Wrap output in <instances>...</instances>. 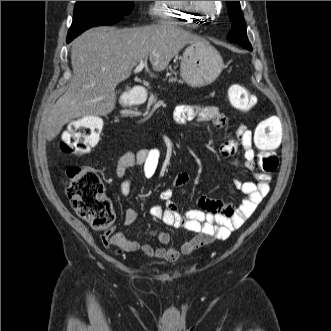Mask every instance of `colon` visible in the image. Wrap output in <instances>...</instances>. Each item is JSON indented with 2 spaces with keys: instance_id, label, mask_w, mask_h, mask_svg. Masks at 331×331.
<instances>
[{
  "instance_id": "1",
  "label": "colon",
  "mask_w": 331,
  "mask_h": 331,
  "mask_svg": "<svg viewBox=\"0 0 331 331\" xmlns=\"http://www.w3.org/2000/svg\"><path fill=\"white\" fill-rule=\"evenodd\" d=\"M228 99L240 111H246L254 104L253 95L239 84L230 86ZM102 128L103 121L95 116L73 121L62 135L61 150L79 156L86 154L98 143ZM282 135L283 121L277 116L268 117L258 125L254 140L260 149L265 150L258 160L262 173H272L277 169L278 157L274 150L281 144ZM65 182L74 211L93 228L110 229L115 221V213L99 176L87 167L72 165L66 171Z\"/></svg>"
}]
</instances>
